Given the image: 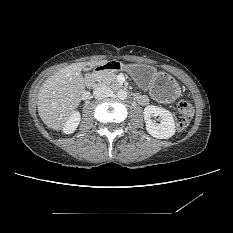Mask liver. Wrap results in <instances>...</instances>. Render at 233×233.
Segmentation results:
<instances>
[{
    "label": "liver",
    "instance_id": "liver-1",
    "mask_svg": "<svg viewBox=\"0 0 233 233\" xmlns=\"http://www.w3.org/2000/svg\"><path fill=\"white\" fill-rule=\"evenodd\" d=\"M108 61L92 62L104 65ZM90 63H73L49 77L41 86L37 105L44 124L53 130H61L74 110L79 106L85 92V81L81 71Z\"/></svg>",
    "mask_w": 233,
    "mask_h": 233
}]
</instances>
